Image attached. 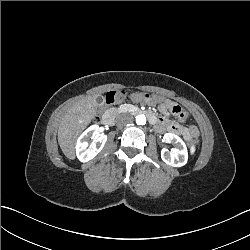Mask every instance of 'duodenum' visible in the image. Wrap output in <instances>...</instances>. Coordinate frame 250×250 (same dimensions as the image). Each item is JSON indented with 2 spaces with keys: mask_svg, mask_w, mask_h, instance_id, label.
I'll list each match as a JSON object with an SVG mask.
<instances>
[{
  "mask_svg": "<svg viewBox=\"0 0 250 250\" xmlns=\"http://www.w3.org/2000/svg\"><path fill=\"white\" fill-rule=\"evenodd\" d=\"M135 114H138L139 111H134ZM114 122V116H113V112L112 111H108L104 114L103 118H102V123L106 126H111L113 125Z\"/></svg>",
  "mask_w": 250,
  "mask_h": 250,
  "instance_id": "1",
  "label": "duodenum"
}]
</instances>
